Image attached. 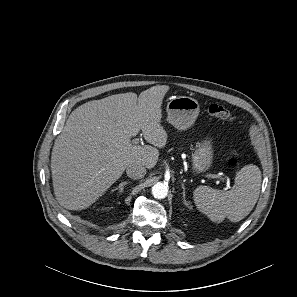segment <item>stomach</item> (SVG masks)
<instances>
[{
  "label": "stomach",
  "instance_id": "obj_1",
  "mask_svg": "<svg viewBox=\"0 0 297 297\" xmlns=\"http://www.w3.org/2000/svg\"><path fill=\"white\" fill-rule=\"evenodd\" d=\"M167 121L179 130L189 128L196 120L200 106L197 100L187 96L173 97L167 104ZM212 143L205 139L198 143L193 154V169L197 172L207 170L212 162Z\"/></svg>",
  "mask_w": 297,
  "mask_h": 297
}]
</instances>
